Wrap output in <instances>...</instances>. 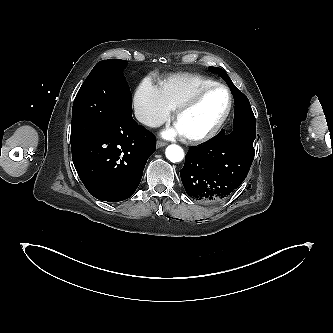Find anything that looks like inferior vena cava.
Segmentation results:
<instances>
[{"mask_svg": "<svg viewBox=\"0 0 333 333\" xmlns=\"http://www.w3.org/2000/svg\"><path fill=\"white\" fill-rule=\"evenodd\" d=\"M135 117L139 122L150 127H158L162 124V121L141 110L135 111Z\"/></svg>", "mask_w": 333, "mask_h": 333, "instance_id": "inferior-vena-cava-1", "label": "inferior vena cava"}]
</instances>
